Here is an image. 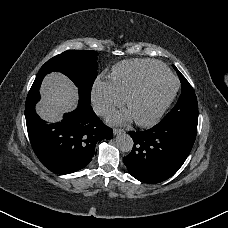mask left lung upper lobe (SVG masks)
Returning a JSON list of instances; mask_svg holds the SVG:
<instances>
[{"mask_svg": "<svg viewBox=\"0 0 228 228\" xmlns=\"http://www.w3.org/2000/svg\"><path fill=\"white\" fill-rule=\"evenodd\" d=\"M176 70L182 84L181 95L174 108L158 123L163 126L191 125L198 124V103L195 92L186 78Z\"/></svg>", "mask_w": 228, "mask_h": 228, "instance_id": "1", "label": "left lung upper lobe"}]
</instances>
